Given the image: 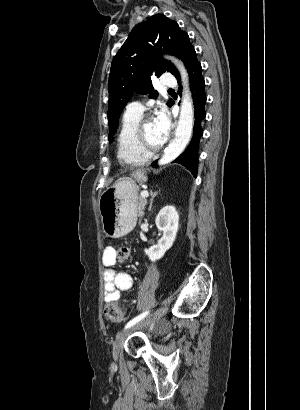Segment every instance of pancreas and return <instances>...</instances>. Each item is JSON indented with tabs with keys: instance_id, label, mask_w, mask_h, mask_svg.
I'll return each mask as SVG.
<instances>
[{
	"instance_id": "1",
	"label": "pancreas",
	"mask_w": 300,
	"mask_h": 410,
	"mask_svg": "<svg viewBox=\"0 0 300 410\" xmlns=\"http://www.w3.org/2000/svg\"><path fill=\"white\" fill-rule=\"evenodd\" d=\"M146 199L145 198H139L138 199V216L141 217L144 213L145 206H146Z\"/></svg>"
}]
</instances>
